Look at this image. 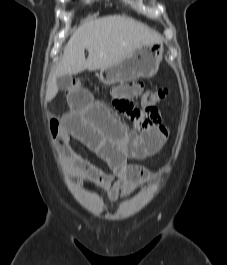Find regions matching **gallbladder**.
I'll return each mask as SVG.
<instances>
[{
	"label": "gallbladder",
	"instance_id": "1",
	"mask_svg": "<svg viewBox=\"0 0 227 265\" xmlns=\"http://www.w3.org/2000/svg\"><path fill=\"white\" fill-rule=\"evenodd\" d=\"M72 76L71 75H63V76H59L56 79V85L58 87V89L60 90H66L71 86L72 83Z\"/></svg>",
	"mask_w": 227,
	"mask_h": 265
}]
</instances>
